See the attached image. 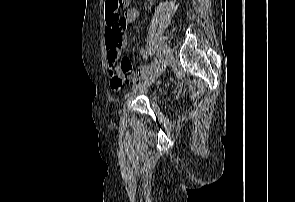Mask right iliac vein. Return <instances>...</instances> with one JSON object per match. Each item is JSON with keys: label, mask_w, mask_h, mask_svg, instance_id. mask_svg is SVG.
<instances>
[{"label": "right iliac vein", "mask_w": 295, "mask_h": 202, "mask_svg": "<svg viewBox=\"0 0 295 202\" xmlns=\"http://www.w3.org/2000/svg\"><path fill=\"white\" fill-rule=\"evenodd\" d=\"M169 54H170V49L168 47V45H164L163 48H162V65L161 67L159 68V70L154 74L153 77L145 80L143 83L141 84H138L136 86H134L132 88V90L134 92L140 90L141 88H147L149 86H151L152 84H154L158 78L160 77V75L164 72L165 68H166V65H167V62L169 60Z\"/></svg>", "instance_id": "right-iliac-vein-1"}]
</instances>
